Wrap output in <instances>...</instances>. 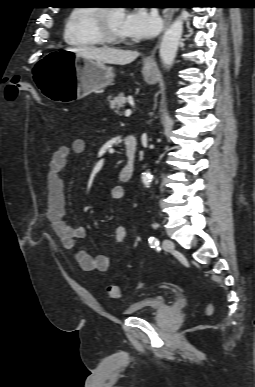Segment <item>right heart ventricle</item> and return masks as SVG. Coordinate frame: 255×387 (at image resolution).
Instances as JSON below:
<instances>
[{"mask_svg": "<svg viewBox=\"0 0 255 387\" xmlns=\"http://www.w3.org/2000/svg\"><path fill=\"white\" fill-rule=\"evenodd\" d=\"M97 8L93 6L74 7L64 25L65 42L76 48H92L104 43L97 34L95 14Z\"/></svg>", "mask_w": 255, "mask_h": 387, "instance_id": "obj_1", "label": "right heart ventricle"}]
</instances>
